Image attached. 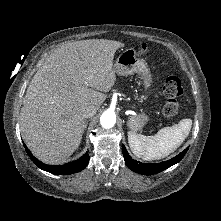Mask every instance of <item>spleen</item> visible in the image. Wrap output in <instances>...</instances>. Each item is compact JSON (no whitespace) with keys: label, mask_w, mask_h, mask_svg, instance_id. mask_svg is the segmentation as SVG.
<instances>
[{"label":"spleen","mask_w":221,"mask_h":221,"mask_svg":"<svg viewBox=\"0 0 221 221\" xmlns=\"http://www.w3.org/2000/svg\"><path fill=\"white\" fill-rule=\"evenodd\" d=\"M192 126L190 118L182 119L178 124L164 127L154 136H144L128 132V143L133 154L143 160H157L174 152L187 138Z\"/></svg>","instance_id":"obj_1"}]
</instances>
